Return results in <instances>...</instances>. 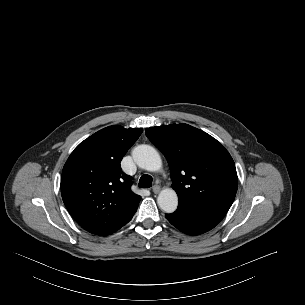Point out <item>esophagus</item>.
Returning <instances> with one entry per match:
<instances>
[{
  "instance_id": "esophagus-1",
  "label": "esophagus",
  "mask_w": 305,
  "mask_h": 305,
  "mask_svg": "<svg viewBox=\"0 0 305 305\" xmlns=\"http://www.w3.org/2000/svg\"><path fill=\"white\" fill-rule=\"evenodd\" d=\"M160 190H161V187H160L159 185H154V186L152 187V191H153V193H155V194H158V193L160 192Z\"/></svg>"
}]
</instances>
